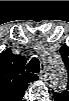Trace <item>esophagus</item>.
Masks as SVG:
<instances>
[{
    "mask_svg": "<svg viewBox=\"0 0 69 101\" xmlns=\"http://www.w3.org/2000/svg\"><path fill=\"white\" fill-rule=\"evenodd\" d=\"M39 78L43 81H46L47 80V72L45 70H42L40 73H39Z\"/></svg>",
    "mask_w": 69,
    "mask_h": 101,
    "instance_id": "obj_1",
    "label": "esophagus"
}]
</instances>
